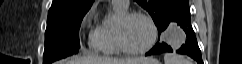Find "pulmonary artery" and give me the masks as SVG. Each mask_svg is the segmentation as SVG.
I'll list each match as a JSON object with an SVG mask.
<instances>
[{"mask_svg": "<svg viewBox=\"0 0 242 64\" xmlns=\"http://www.w3.org/2000/svg\"><path fill=\"white\" fill-rule=\"evenodd\" d=\"M112 3L113 5L118 6L122 9H127L129 6L128 0H113Z\"/></svg>", "mask_w": 242, "mask_h": 64, "instance_id": "pulmonary-artery-1", "label": "pulmonary artery"}]
</instances>
